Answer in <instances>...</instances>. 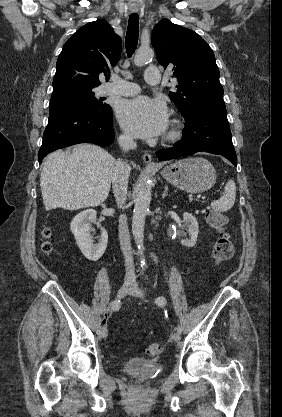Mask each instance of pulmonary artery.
<instances>
[{
    "label": "pulmonary artery",
    "mask_w": 282,
    "mask_h": 417,
    "mask_svg": "<svg viewBox=\"0 0 282 417\" xmlns=\"http://www.w3.org/2000/svg\"><path fill=\"white\" fill-rule=\"evenodd\" d=\"M159 65H148L144 72V79L146 83L157 84L161 83L162 77ZM119 84V85H115ZM139 92V86L136 83H132L121 79L120 77L113 76L112 84L104 89L106 95H119V96H132Z\"/></svg>",
    "instance_id": "pulmonary-artery-1"
}]
</instances>
